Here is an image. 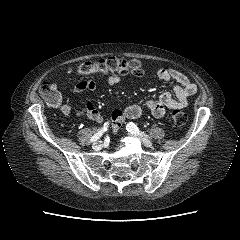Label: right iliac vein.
Wrapping results in <instances>:
<instances>
[{
    "label": "right iliac vein",
    "instance_id": "1",
    "mask_svg": "<svg viewBox=\"0 0 240 240\" xmlns=\"http://www.w3.org/2000/svg\"><path fill=\"white\" fill-rule=\"evenodd\" d=\"M102 147V142L101 141H97L95 143H93L92 148L95 150H98Z\"/></svg>",
    "mask_w": 240,
    "mask_h": 240
}]
</instances>
